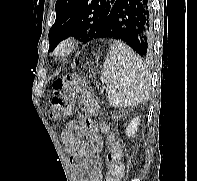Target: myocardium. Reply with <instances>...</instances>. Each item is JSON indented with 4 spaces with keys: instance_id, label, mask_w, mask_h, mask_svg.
<instances>
[{
    "instance_id": "myocardium-1",
    "label": "myocardium",
    "mask_w": 197,
    "mask_h": 181,
    "mask_svg": "<svg viewBox=\"0 0 197 181\" xmlns=\"http://www.w3.org/2000/svg\"><path fill=\"white\" fill-rule=\"evenodd\" d=\"M77 47L78 40L74 36H67L57 45L55 56L59 59H66L74 53Z\"/></svg>"
}]
</instances>
